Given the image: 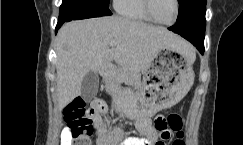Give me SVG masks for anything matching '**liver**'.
I'll return each instance as SVG.
<instances>
[{
  "mask_svg": "<svg viewBox=\"0 0 243 145\" xmlns=\"http://www.w3.org/2000/svg\"><path fill=\"white\" fill-rule=\"evenodd\" d=\"M112 41L116 42L113 47ZM165 49L184 52L190 46L164 27L119 16L64 24L56 42L59 108L81 94L82 81L89 71L97 73L115 61L125 73L136 77Z\"/></svg>",
  "mask_w": 243,
  "mask_h": 145,
  "instance_id": "1",
  "label": "liver"
}]
</instances>
